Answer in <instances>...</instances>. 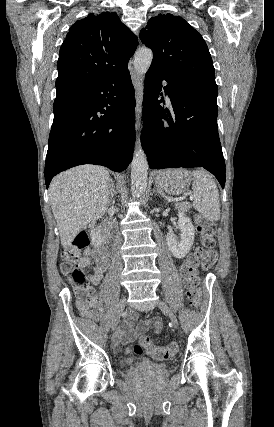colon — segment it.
Listing matches in <instances>:
<instances>
[{"label":"colon","mask_w":274,"mask_h":427,"mask_svg":"<svg viewBox=\"0 0 274 427\" xmlns=\"http://www.w3.org/2000/svg\"><path fill=\"white\" fill-rule=\"evenodd\" d=\"M200 223V241L201 245L193 252L184 264L181 275L185 286L188 290L190 308L195 311L198 308L202 298V288L198 278V267L203 254H208L209 250L215 248V231L214 222L203 218L199 219ZM72 247L65 251L62 271L68 275L71 282L75 285L79 295H84L89 289V276L86 271L78 266L77 259L79 250L87 248L91 244L88 233L83 229H76L70 235ZM131 352L136 356L150 355L157 360H166L172 358L178 352V343L173 341L163 346L152 344L148 338L143 337L132 349Z\"/></svg>","instance_id":"5ec220e1"}]
</instances>
